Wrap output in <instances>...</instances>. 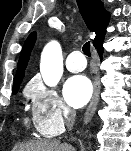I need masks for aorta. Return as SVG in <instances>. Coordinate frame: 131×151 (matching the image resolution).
Listing matches in <instances>:
<instances>
[{
	"label": "aorta",
	"mask_w": 131,
	"mask_h": 151,
	"mask_svg": "<svg viewBox=\"0 0 131 151\" xmlns=\"http://www.w3.org/2000/svg\"><path fill=\"white\" fill-rule=\"evenodd\" d=\"M40 72L46 85L56 86L63 74V58L60 44L48 43L41 55Z\"/></svg>",
	"instance_id": "aorta-1"
}]
</instances>
